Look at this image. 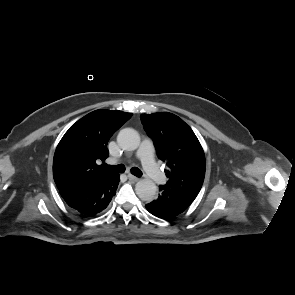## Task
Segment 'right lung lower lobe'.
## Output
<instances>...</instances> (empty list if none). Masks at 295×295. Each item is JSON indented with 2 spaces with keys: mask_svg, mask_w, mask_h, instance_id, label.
<instances>
[{
  "mask_svg": "<svg viewBox=\"0 0 295 295\" xmlns=\"http://www.w3.org/2000/svg\"><path fill=\"white\" fill-rule=\"evenodd\" d=\"M119 174L114 173L101 181L78 189L60 191L62 198L85 217H94L102 212L116 194Z\"/></svg>",
  "mask_w": 295,
  "mask_h": 295,
  "instance_id": "98d812e1",
  "label": "right lung lower lobe"
}]
</instances>
